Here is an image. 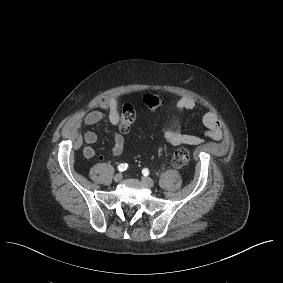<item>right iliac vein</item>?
Returning a JSON list of instances; mask_svg holds the SVG:
<instances>
[{
  "label": "right iliac vein",
  "mask_w": 283,
  "mask_h": 283,
  "mask_svg": "<svg viewBox=\"0 0 283 283\" xmlns=\"http://www.w3.org/2000/svg\"><path fill=\"white\" fill-rule=\"evenodd\" d=\"M123 176L121 173H118L114 176V181L120 182L122 180Z\"/></svg>",
  "instance_id": "right-iliac-vein-1"
}]
</instances>
